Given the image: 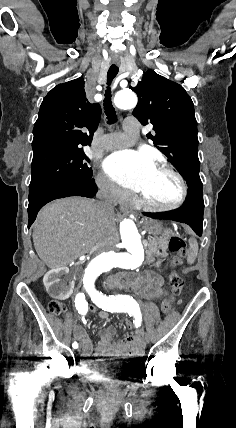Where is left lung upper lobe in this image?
<instances>
[{
  "instance_id": "1",
  "label": "left lung upper lobe",
  "mask_w": 236,
  "mask_h": 428,
  "mask_svg": "<svg viewBox=\"0 0 236 428\" xmlns=\"http://www.w3.org/2000/svg\"><path fill=\"white\" fill-rule=\"evenodd\" d=\"M130 88L139 99L133 115L143 125L154 126L155 133H148L147 137L185 177L189 188L202 187L197 121L193 102L185 89L153 70H148L142 81Z\"/></svg>"
}]
</instances>
